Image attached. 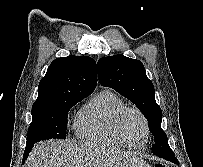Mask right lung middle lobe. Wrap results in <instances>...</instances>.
<instances>
[{
    "label": "right lung middle lobe",
    "instance_id": "right-lung-middle-lobe-1",
    "mask_svg": "<svg viewBox=\"0 0 203 167\" xmlns=\"http://www.w3.org/2000/svg\"><path fill=\"white\" fill-rule=\"evenodd\" d=\"M84 98H68L52 105L32 107V122L28 129L27 142L65 139L68 112Z\"/></svg>",
    "mask_w": 203,
    "mask_h": 167
}]
</instances>
